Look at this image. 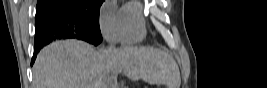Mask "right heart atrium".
<instances>
[{
    "instance_id": "1",
    "label": "right heart atrium",
    "mask_w": 267,
    "mask_h": 88,
    "mask_svg": "<svg viewBox=\"0 0 267 88\" xmlns=\"http://www.w3.org/2000/svg\"><path fill=\"white\" fill-rule=\"evenodd\" d=\"M99 28L109 44L114 45L121 40V12L111 1L105 2L100 10Z\"/></svg>"
}]
</instances>
